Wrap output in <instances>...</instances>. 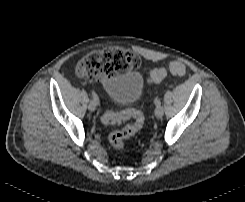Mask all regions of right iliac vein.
Segmentation results:
<instances>
[{"instance_id": "1", "label": "right iliac vein", "mask_w": 245, "mask_h": 202, "mask_svg": "<svg viewBox=\"0 0 245 202\" xmlns=\"http://www.w3.org/2000/svg\"><path fill=\"white\" fill-rule=\"evenodd\" d=\"M88 109H89L91 112H93V111L96 110V103H95L93 100H91V101L89 102Z\"/></svg>"}]
</instances>
